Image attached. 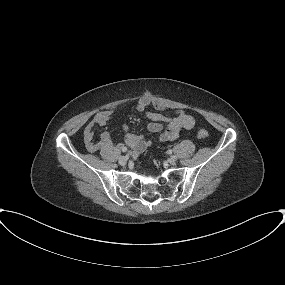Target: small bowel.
Returning <instances> with one entry per match:
<instances>
[{
	"label": "small bowel",
	"instance_id": "obj_1",
	"mask_svg": "<svg viewBox=\"0 0 285 285\" xmlns=\"http://www.w3.org/2000/svg\"><path fill=\"white\" fill-rule=\"evenodd\" d=\"M151 106L157 111H164L167 109V105L163 101L150 97L141 98L137 104V110L149 119L147 124L148 132L158 134L156 138L158 142L173 141L178 138L182 130H192L196 126L195 119L184 110H177L173 115L164 116L160 113L149 111L148 108ZM113 115L114 112L112 110H102L86 125L84 142L87 150L96 152L113 146L111 135L107 131L101 133L99 141L94 139L95 128L108 125ZM162 122H165V125ZM122 137L123 143L118 144V147L130 149L133 155L144 152L152 144L153 140V138L130 133L126 125L122 126Z\"/></svg>",
	"mask_w": 285,
	"mask_h": 285
}]
</instances>
